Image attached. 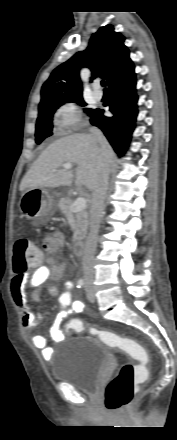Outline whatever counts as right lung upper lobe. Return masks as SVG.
<instances>
[{
  "instance_id": "right-lung-upper-lobe-1",
  "label": "right lung upper lobe",
  "mask_w": 177,
  "mask_h": 440,
  "mask_svg": "<svg viewBox=\"0 0 177 440\" xmlns=\"http://www.w3.org/2000/svg\"><path fill=\"white\" fill-rule=\"evenodd\" d=\"M124 41L125 37L115 32L112 25L101 27L92 35L84 51L76 53L52 72L42 86L39 105L82 96V67L91 70V80L103 74L102 78L109 84L133 65Z\"/></svg>"
}]
</instances>
